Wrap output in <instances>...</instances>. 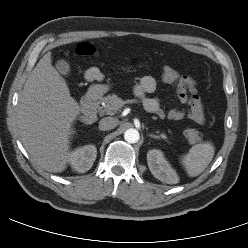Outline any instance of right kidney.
Segmentation results:
<instances>
[{"mask_svg":"<svg viewBox=\"0 0 248 248\" xmlns=\"http://www.w3.org/2000/svg\"><path fill=\"white\" fill-rule=\"evenodd\" d=\"M97 149L94 145H86L70 153L69 163L79 173L88 171L96 160Z\"/></svg>","mask_w":248,"mask_h":248,"instance_id":"obj_1","label":"right kidney"}]
</instances>
